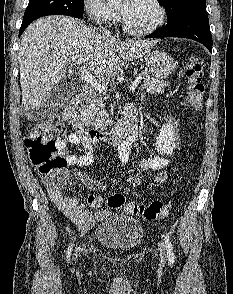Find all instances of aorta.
I'll return each instance as SVG.
<instances>
[{
    "instance_id": "aorta-1",
    "label": "aorta",
    "mask_w": 233,
    "mask_h": 294,
    "mask_svg": "<svg viewBox=\"0 0 233 294\" xmlns=\"http://www.w3.org/2000/svg\"><path fill=\"white\" fill-rule=\"evenodd\" d=\"M118 1H120V0H107V3H108L109 5H112V4L117 3Z\"/></svg>"
}]
</instances>
